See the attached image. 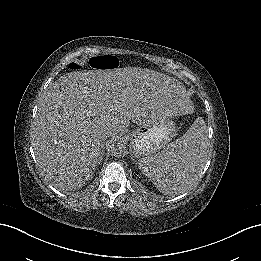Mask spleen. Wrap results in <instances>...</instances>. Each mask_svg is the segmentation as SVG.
<instances>
[{
	"label": "spleen",
	"instance_id": "spleen-1",
	"mask_svg": "<svg viewBox=\"0 0 261 261\" xmlns=\"http://www.w3.org/2000/svg\"><path fill=\"white\" fill-rule=\"evenodd\" d=\"M200 136L187 132L182 141L171 144L160 153L139 160V166L165 194L180 189V183L204 162L200 153Z\"/></svg>",
	"mask_w": 261,
	"mask_h": 261
}]
</instances>
